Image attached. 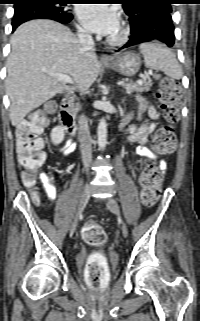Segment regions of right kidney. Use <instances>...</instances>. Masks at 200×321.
<instances>
[{
	"instance_id": "right-kidney-1",
	"label": "right kidney",
	"mask_w": 200,
	"mask_h": 321,
	"mask_svg": "<svg viewBox=\"0 0 200 321\" xmlns=\"http://www.w3.org/2000/svg\"><path fill=\"white\" fill-rule=\"evenodd\" d=\"M65 136V132L63 127L61 126H56L52 129L50 137H51V141L53 144L58 145L60 144Z\"/></svg>"
}]
</instances>
